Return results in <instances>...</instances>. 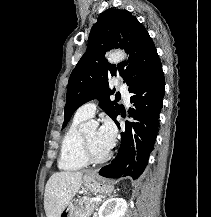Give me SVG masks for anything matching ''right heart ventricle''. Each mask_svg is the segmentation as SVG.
Returning a JSON list of instances; mask_svg holds the SVG:
<instances>
[{"label":"right heart ventricle","mask_w":211,"mask_h":217,"mask_svg":"<svg viewBox=\"0 0 211 217\" xmlns=\"http://www.w3.org/2000/svg\"><path fill=\"white\" fill-rule=\"evenodd\" d=\"M85 119L75 116L61 141L58 166L65 171H76L87 166L81 152V124Z\"/></svg>","instance_id":"1"}]
</instances>
